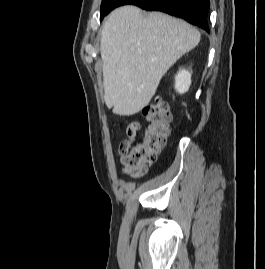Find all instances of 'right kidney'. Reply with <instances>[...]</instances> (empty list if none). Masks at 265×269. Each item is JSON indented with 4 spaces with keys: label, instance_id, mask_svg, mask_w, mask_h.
Segmentation results:
<instances>
[{
    "label": "right kidney",
    "instance_id": "obj_1",
    "mask_svg": "<svg viewBox=\"0 0 265 269\" xmlns=\"http://www.w3.org/2000/svg\"><path fill=\"white\" fill-rule=\"evenodd\" d=\"M191 84V72L182 69L179 70L178 74L175 76V89L180 94H183L189 90Z\"/></svg>",
    "mask_w": 265,
    "mask_h": 269
}]
</instances>
